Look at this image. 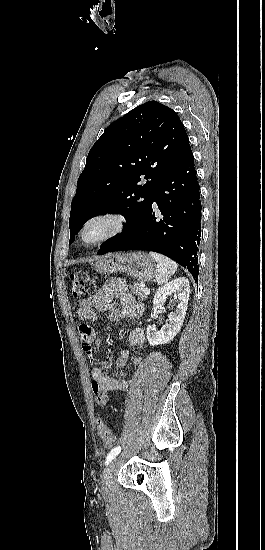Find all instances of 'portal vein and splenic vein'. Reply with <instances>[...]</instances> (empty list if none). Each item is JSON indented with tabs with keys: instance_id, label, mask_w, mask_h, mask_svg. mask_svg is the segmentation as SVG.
Segmentation results:
<instances>
[{
	"instance_id": "18ae733b",
	"label": "portal vein and splenic vein",
	"mask_w": 265,
	"mask_h": 550,
	"mask_svg": "<svg viewBox=\"0 0 265 550\" xmlns=\"http://www.w3.org/2000/svg\"><path fill=\"white\" fill-rule=\"evenodd\" d=\"M149 293H150V290H149L148 288H145V289H144V294H145V295H149Z\"/></svg>"
}]
</instances>
